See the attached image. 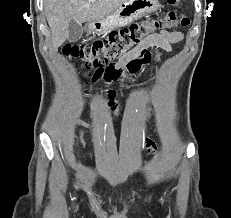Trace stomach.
I'll return each mask as SVG.
<instances>
[{
    "label": "stomach",
    "mask_w": 231,
    "mask_h": 218,
    "mask_svg": "<svg viewBox=\"0 0 231 218\" xmlns=\"http://www.w3.org/2000/svg\"><path fill=\"white\" fill-rule=\"evenodd\" d=\"M159 8L158 0H125L109 17L87 24L89 34H101L126 26L131 22L155 12Z\"/></svg>",
    "instance_id": "0dacf381"
}]
</instances>
